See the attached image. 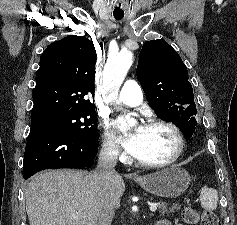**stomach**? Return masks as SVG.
Returning a JSON list of instances; mask_svg holds the SVG:
<instances>
[{
  "mask_svg": "<svg viewBox=\"0 0 237 225\" xmlns=\"http://www.w3.org/2000/svg\"><path fill=\"white\" fill-rule=\"evenodd\" d=\"M135 181L151 194L175 198L187 190L191 177L186 170L179 166H171L149 175L136 177Z\"/></svg>",
  "mask_w": 237,
  "mask_h": 225,
  "instance_id": "obj_1",
  "label": "stomach"
}]
</instances>
